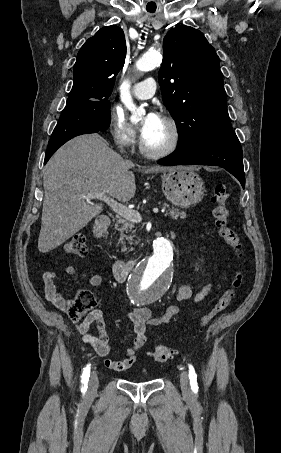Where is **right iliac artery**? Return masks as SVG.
<instances>
[{
    "mask_svg": "<svg viewBox=\"0 0 281 453\" xmlns=\"http://www.w3.org/2000/svg\"><path fill=\"white\" fill-rule=\"evenodd\" d=\"M89 376H90V364H88L84 368L83 374L81 376V378H82L81 382L83 383V386L81 388L82 391H86L87 390V384H88Z\"/></svg>",
    "mask_w": 281,
    "mask_h": 453,
    "instance_id": "82829eb1",
    "label": "right iliac artery"
}]
</instances>
